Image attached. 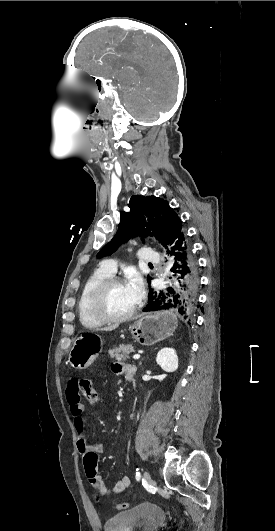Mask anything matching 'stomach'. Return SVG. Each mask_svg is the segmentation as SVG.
<instances>
[{"label":"stomach","mask_w":275,"mask_h":531,"mask_svg":"<svg viewBox=\"0 0 275 531\" xmlns=\"http://www.w3.org/2000/svg\"><path fill=\"white\" fill-rule=\"evenodd\" d=\"M178 327V319L172 311H157V313H148L135 319L129 329L133 339H136L140 345H155L158 341H163L171 337ZM103 341L97 333H84L78 339H75L73 347L69 353L68 363L74 369H87L102 353Z\"/></svg>","instance_id":"1"}]
</instances>
